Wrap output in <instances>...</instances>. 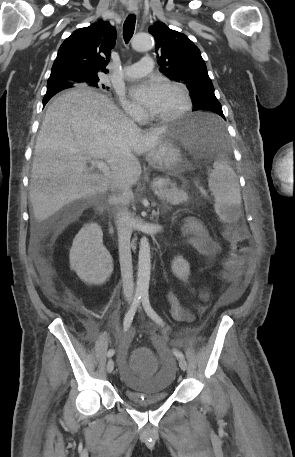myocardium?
Returning <instances> with one entry per match:
<instances>
[{
    "mask_svg": "<svg viewBox=\"0 0 295 457\" xmlns=\"http://www.w3.org/2000/svg\"><path fill=\"white\" fill-rule=\"evenodd\" d=\"M161 86H167V87H172L175 88L179 91L181 98H182V105L181 107L168 115H155L152 112L148 113V116L151 120L153 121H159V122H169L176 120L183 115H185L191 108L192 102H191V97L189 94L188 89L186 86L182 83L176 82V81H171V80H163L160 82Z\"/></svg>",
    "mask_w": 295,
    "mask_h": 457,
    "instance_id": "obj_1",
    "label": "myocardium"
}]
</instances>
